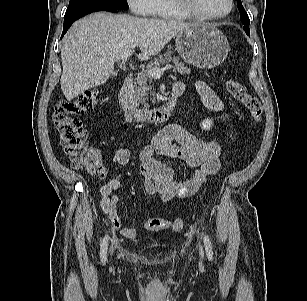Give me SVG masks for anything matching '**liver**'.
<instances>
[{"label":"liver","mask_w":307,"mask_h":301,"mask_svg":"<svg viewBox=\"0 0 307 301\" xmlns=\"http://www.w3.org/2000/svg\"><path fill=\"white\" fill-rule=\"evenodd\" d=\"M193 24L139 18L128 14L95 13L76 21L61 47V89L68 101L104 84L114 63L139 47L141 61L158 54L180 31Z\"/></svg>","instance_id":"liver-1"}]
</instances>
